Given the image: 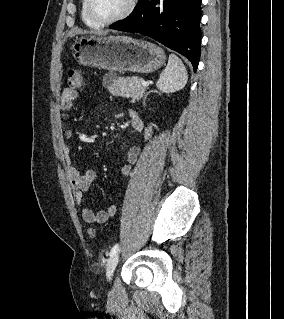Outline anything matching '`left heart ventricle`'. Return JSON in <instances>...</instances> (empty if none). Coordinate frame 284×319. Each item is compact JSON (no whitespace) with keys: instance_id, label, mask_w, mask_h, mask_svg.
<instances>
[{"instance_id":"obj_1","label":"left heart ventricle","mask_w":284,"mask_h":319,"mask_svg":"<svg viewBox=\"0 0 284 319\" xmlns=\"http://www.w3.org/2000/svg\"><path fill=\"white\" fill-rule=\"evenodd\" d=\"M128 0H92L94 14L104 20L120 14L126 7Z\"/></svg>"}]
</instances>
